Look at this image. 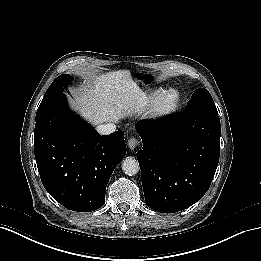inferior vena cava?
<instances>
[{
  "instance_id": "inferior-vena-cava-1",
  "label": "inferior vena cava",
  "mask_w": 261,
  "mask_h": 261,
  "mask_svg": "<svg viewBox=\"0 0 261 261\" xmlns=\"http://www.w3.org/2000/svg\"><path fill=\"white\" fill-rule=\"evenodd\" d=\"M96 130L100 135H109L116 131V125L113 123L101 124L97 126Z\"/></svg>"
}]
</instances>
